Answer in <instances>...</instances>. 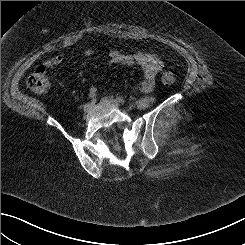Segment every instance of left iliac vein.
<instances>
[{
    "label": "left iliac vein",
    "instance_id": "obj_1",
    "mask_svg": "<svg viewBox=\"0 0 245 245\" xmlns=\"http://www.w3.org/2000/svg\"><path fill=\"white\" fill-rule=\"evenodd\" d=\"M101 101L105 104H109V105H112L116 108H119L120 107V104L113 98H109V97H103L101 99Z\"/></svg>",
    "mask_w": 245,
    "mask_h": 245
}]
</instances>
